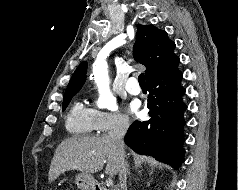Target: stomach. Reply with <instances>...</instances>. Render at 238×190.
I'll return each mask as SVG.
<instances>
[{
    "label": "stomach",
    "instance_id": "1",
    "mask_svg": "<svg viewBox=\"0 0 238 190\" xmlns=\"http://www.w3.org/2000/svg\"><path fill=\"white\" fill-rule=\"evenodd\" d=\"M75 184L81 190H95L96 188L94 177L85 173H79L76 175Z\"/></svg>",
    "mask_w": 238,
    "mask_h": 190
}]
</instances>
